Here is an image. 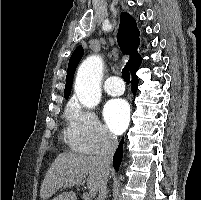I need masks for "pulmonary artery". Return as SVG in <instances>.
I'll list each match as a JSON object with an SVG mask.
<instances>
[{
  "label": "pulmonary artery",
  "instance_id": "pulmonary-artery-1",
  "mask_svg": "<svg viewBox=\"0 0 201 200\" xmlns=\"http://www.w3.org/2000/svg\"><path fill=\"white\" fill-rule=\"evenodd\" d=\"M106 93L112 96H118L124 93L125 86L122 79L119 76H110L106 80L104 85Z\"/></svg>",
  "mask_w": 201,
  "mask_h": 200
}]
</instances>
